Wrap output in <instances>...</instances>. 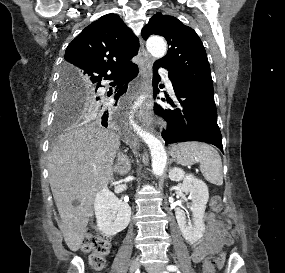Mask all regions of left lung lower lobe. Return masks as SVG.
Segmentation results:
<instances>
[{
    "instance_id": "0a47b994",
    "label": "left lung lower lobe",
    "mask_w": 285,
    "mask_h": 273,
    "mask_svg": "<svg viewBox=\"0 0 285 273\" xmlns=\"http://www.w3.org/2000/svg\"><path fill=\"white\" fill-rule=\"evenodd\" d=\"M161 67L154 64V69ZM169 78L178 98V108L165 109L154 104V111L168 122L162 137L166 145L183 141H201L217 146L223 152L222 135L217 124V110L213 88L186 85L176 80L171 73ZM154 80L159 76L154 73ZM159 91H155L154 95ZM164 100V99H163ZM174 107V103L168 100Z\"/></svg>"
}]
</instances>
